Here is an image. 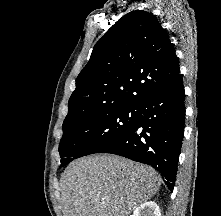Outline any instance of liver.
<instances>
[{
  "label": "liver",
  "mask_w": 221,
  "mask_h": 216,
  "mask_svg": "<svg viewBox=\"0 0 221 216\" xmlns=\"http://www.w3.org/2000/svg\"><path fill=\"white\" fill-rule=\"evenodd\" d=\"M152 168L116 155L73 161L60 179L64 216H128L159 190Z\"/></svg>",
  "instance_id": "1"
}]
</instances>
